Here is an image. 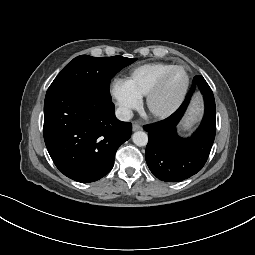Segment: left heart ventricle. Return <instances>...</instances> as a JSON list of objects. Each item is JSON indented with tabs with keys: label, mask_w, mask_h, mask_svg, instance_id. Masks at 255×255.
I'll list each match as a JSON object with an SVG mask.
<instances>
[{
	"label": "left heart ventricle",
	"mask_w": 255,
	"mask_h": 255,
	"mask_svg": "<svg viewBox=\"0 0 255 255\" xmlns=\"http://www.w3.org/2000/svg\"><path fill=\"white\" fill-rule=\"evenodd\" d=\"M186 82V74L183 70H175L166 81L160 94L154 101V107L159 110L167 109L178 97Z\"/></svg>",
	"instance_id": "1"
}]
</instances>
